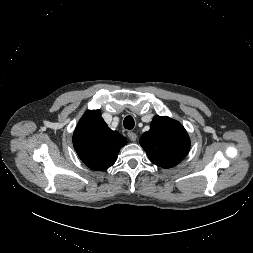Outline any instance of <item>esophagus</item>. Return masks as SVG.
Segmentation results:
<instances>
[{"mask_svg": "<svg viewBox=\"0 0 253 253\" xmlns=\"http://www.w3.org/2000/svg\"><path fill=\"white\" fill-rule=\"evenodd\" d=\"M127 135H128V138L131 140V141H133V142H135L136 140H137V135L134 133V132H128L127 133Z\"/></svg>", "mask_w": 253, "mask_h": 253, "instance_id": "esophagus-1", "label": "esophagus"}]
</instances>
